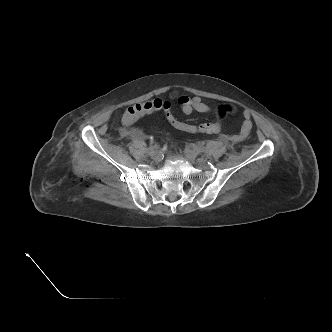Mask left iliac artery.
Returning <instances> with one entry per match:
<instances>
[{
  "instance_id": "left-iliac-artery-1",
  "label": "left iliac artery",
  "mask_w": 332,
  "mask_h": 332,
  "mask_svg": "<svg viewBox=\"0 0 332 332\" xmlns=\"http://www.w3.org/2000/svg\"><path fill=\"white\" fill-rule=\"evenodd\" d=\"M194 151L196 152V154H201L204 152V148L202 146H197L195 147Z\"/></svg>"
}]
</instances>
